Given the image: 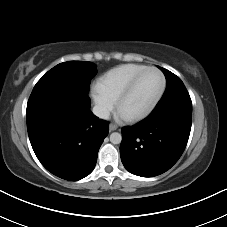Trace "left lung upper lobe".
<instances>
[{"instance_id":"1","label":"left lung upper lobe","mask_w":227,"mask_h":227,"mask_svg":"<svg viewBox=\"0 0 227 227\" xmlns=\"http://www.w3.org/2000/svg\"><path fill=\"white\" fill-rule=\"evenodd\" d=\"M158 68L166 77L167 88L156 108H161L168 105L192 106L189 93L181 79L167 69L159 66Z\"/></svg>"}]
</instances>
